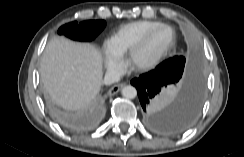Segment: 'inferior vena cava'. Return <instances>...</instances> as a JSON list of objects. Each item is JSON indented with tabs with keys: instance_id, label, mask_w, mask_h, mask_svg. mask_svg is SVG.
<instances>
[{
	"instance_id": "inferior-vena-cava-1",
	"label": "inferior vena cava",
	"mask_w": 244,
	"mask_h": 157,
	"mask_svg": "<svg viewBox=\"0 0 244 157\" xmlns=\"http://www.w3.org/2000/svg\"><path fill=\"white\" fill-rule=\"evenodd\" d=\"M120 80V74L116 71H109L105 74L103 83L105 85H111Z\"/></svg>"
}]
</instances>
